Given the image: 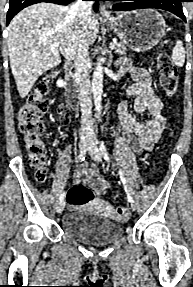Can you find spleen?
Here are the masks:
<instances>
[{"mask_svg": "<svg viewBox=\"0 0 193 287\" xmlns=\"http://www.w3.org/2000/svg\"><path fill=\"white\" fill-rule=\"evenodd\" d=\"M172 62L178 67H182L185 62V49L180 40H178L175 44V47L172 51Z\"/></svg>", "mask_w": 193, "mask_h": 287, "instance_id": "1", "label": "spleen"}]
</instances>
